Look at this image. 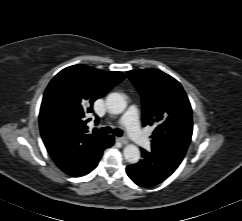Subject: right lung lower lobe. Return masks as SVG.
<instances>
[{
	"label": "right lung lower lobe",
	"instance_id": "98d812e1",
	"mask_svg": "<svg viewBox=\"0 0 242 221\" xmlns=\"http://www.w3.org/2000/svg\"><path fill=\"white\" fill-rule=\"evenodd\" d=\"M114 143V137L112 135H105L104 138L97 145L89 146L84 153L85 163L79 167H59L65 173L71 176H82L92 171L98 164L103 150L109 148Z\"/></svg>",
	"mask_w": 242,
	"mask_h": 221
}]
</instances>
